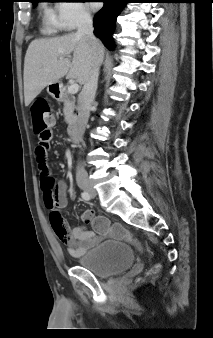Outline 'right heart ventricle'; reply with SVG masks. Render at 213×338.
Masks as SVG:
<instances>
[{"mask_svg": "<svg viewBox=\"0 0 213 338\" xmlns=\"http://www.w3.org/2000/svg\"><path fill=\"white\" fill-rule=\"evenodd\" d=\"M47 26H48V29L51 31V32H56L58 30H61L62 28L57 25L55 22H53L50 18V16L47 18Z\"/></svg>", "mask_w": 213, "mask_h": 338, "instance_id": "e07e8e85", "label": "right heart ventricle"}]
</instances>
